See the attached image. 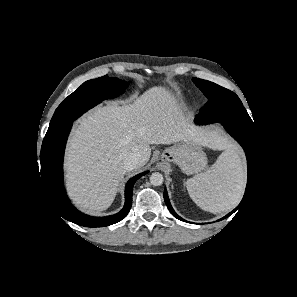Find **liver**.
Here are the masks:
<instances>
[{
  "instance_id": "1",
  "label": "liver",
  "mask_w": 297,
  "mask_h": 297,
  "mask_svg": "<svg viewBox=\"0 0 297 297\" xmlns=\"http://www.w3.org/2000/svg\"><path fill=\"white\" fill-rule=\"evenodd\" d=\"M176 142L218 146L214 136L188 121L164 87L148 89L133 104L96 107L78 121L68 142L65 171L70 198L90 213L107 209L126 173L127 156L141 155L138 171L150 159L151 144Z\"/></svg>"
}]
</instances>
